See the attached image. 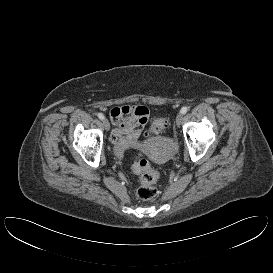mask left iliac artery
<instances>
[{"instance_id":"1","label":"left iliac artery","mask_w":273,"mask_h":273,"mask_svg":"<svg viewBox=\"0 0 273 273\" xmlns=\"http://www.w3.org/2000/svg\"><path fill=\"white\" fill-rule=\"evenodd\" d=\"M187 111H188V107H186V106L182 107V109H181L182 114L187 113Z\"/></svg>"}]
</instances>
